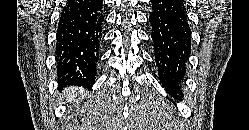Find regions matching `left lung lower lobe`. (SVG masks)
<instances>
[{
	"instance_id": "obj_1",
	"label": "left lung lower lobe",
	"mask_w": 249,
	"mask_h": 130,
	"mask_svg": "<svg viewBox=\"0 0 249 130\" xmlns=\"http://www.w3.org/2000/svg\"><path fill=\"white\" fill-rule=\"evenodd\" d=\"M151 3L149 22L159 78L169 94L181 100L179 84L185 77L191 50L186 6L182 0H151Z\"/></svg>"
}]
</instances>
